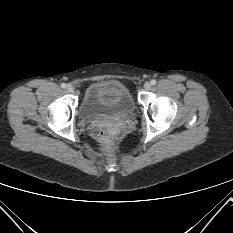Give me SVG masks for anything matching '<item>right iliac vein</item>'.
<instances>
[{"label":"right iliac vein","instance_id":"63e3f726","mask_svg":"<svg viewBox=\"0 0 233 233\" xmlns=\"http://www.w3.org/2000/svg\"><path fill=\"white\" fill-rule=\"evenodd\" d=\"M66 89L69 93H73L75 91V88L71 84H69Z\"/></svg>","mask_w":233,"mask_h":233}]
</instances>
